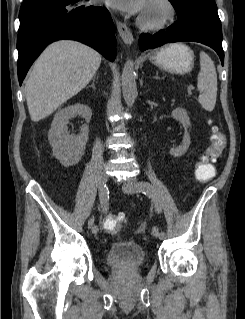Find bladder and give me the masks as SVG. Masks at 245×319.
I'll return each instance as SVG.
<instances>
[{
	"instance_id": "bladder-1",
	"label": "bladder",
	"mask_w": 245,
	"mask_h": 319,
	"mask_svg": "<svg viewBox=\"0 0 245 319\" xmlns=\"http://www.w3.org/2000/svg\"><path fill=\"white\" fill-rule=\"evenodd\" d=\"M145 260L143 247L133 241H117L111 244L107 253L106 261L110 265L136 267Z\"/></svg>"
}]
</instances>
